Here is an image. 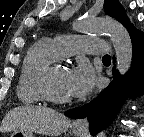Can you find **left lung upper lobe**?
I'll return each instance as SVG.
<instances>
[{"mask_svg":"<svg viewBox=\"0 0 144 137\" xmlns=\"http://www.w3.org/2000/svg\"><path fill=\"white\" fill-rule=\"evenodd\" d=\"M103 11L106 15H109L118 21H120L124 26L127 27L128 32L134 28L126 16L125 10L118 0H104Z\"/></svg>","mask_w":144,"mask_h":137,"instance_id":"1","label":"left lung upper lobe"}]
</instances>
